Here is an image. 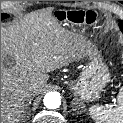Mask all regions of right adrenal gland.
Masks as SVG:
<instances>
[{
	"label": "right adrenal gland",
	"mask_w": 123,
	"mask_h": 123,
	"mask_svg": "<svg viewBox=\"0 0 123 123\" xmlns=\"http://www.w3.org/2000/svg\"><path fill=\"white\" fill-rule=\"evenodd\" d=\"M31 104V101H29V102H27L26 104H25V110H28L29 109V105ZM29 112L30 111H28V115H29Z\"/></svg>",
	"instance_id": "1"
}]
</instances>
